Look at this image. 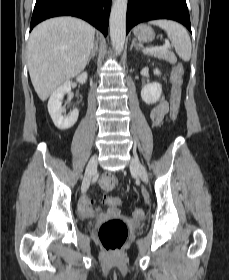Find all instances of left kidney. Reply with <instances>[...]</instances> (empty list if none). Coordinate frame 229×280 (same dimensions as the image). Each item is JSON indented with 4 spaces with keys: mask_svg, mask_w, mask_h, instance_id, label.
Instances as JSON below:
<instances>
[{
    "mask_svg": "<svg viewBox=\"0 0 229 280\" xmlns=\"http://www.w3.org/2000/svg\"><path fill=\"white\" fill-rule=\"evenodd\" d=\"M155 75H160L161 72L158 69L154 70ZM162 93L161 84L154 82L145 85L141 90V98L146 104H152L159 100Z\"/></svg>",
    "mask_w": 229,
    "mask_h": 280,
    "instance_id": "5707ae66",
    "label": "left kidney"
}]
</instances>
